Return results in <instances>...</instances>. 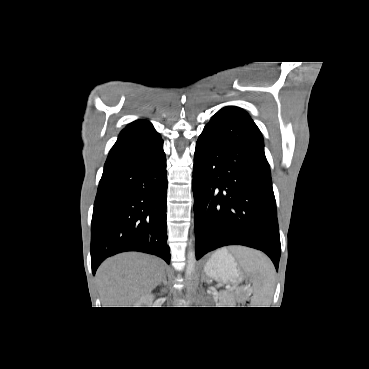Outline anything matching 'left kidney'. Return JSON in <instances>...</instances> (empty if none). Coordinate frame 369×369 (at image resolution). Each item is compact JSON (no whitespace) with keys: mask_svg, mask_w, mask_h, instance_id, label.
<instances>
[{"mask_svg":"<svg viewBox=\"0 0 369 369\" xmlns=\"http://www.w3.org/2000/svg\"><path fill=\"white\" fill-rule=\"evenodd\" d=\"M219 306L220 307H232L234 306L232 295L227 292H220L219 294Z\"/></svg>","mask_w":369,"mask_h":369,"instance_id":"left-kidney-1","label":"left kidney"}]
</instances>
